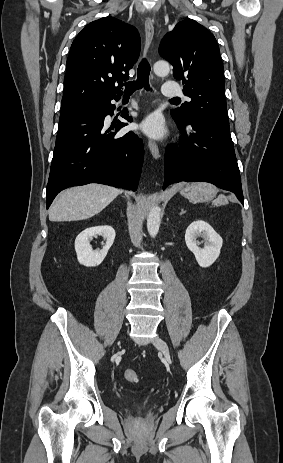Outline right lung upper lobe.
Segmentation results:
<instances>
[{
	"label": "right lung upper lobe",
	"instance_id": "1",
	"mask_svg": "<svg viewBox=\"0 0 283 463\" xmlns=\"http://www.w3.org/2000/svg\"><path fill=\"white\" fill-rule=\"evenodd\" d=\"M140 47L137 29L114 17L88 24L71 45L61 115L93 100L121 95V82L128 79Z\"/></svg>",
	"mask_w": 283,
	"mask_h": 463
}]
</instances>
